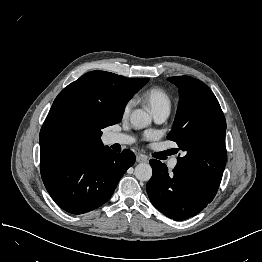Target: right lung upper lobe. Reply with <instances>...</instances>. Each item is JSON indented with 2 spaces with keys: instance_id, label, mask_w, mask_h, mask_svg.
Listing matches in <instances>:
<instances>
[{
  "instance_id": "1",
  "label": "right lung upper lobe",
  "mask_w": 262,
  "mask_h": 262,
  "mask_svg": "<svg viewBox=\"0 0 262 262\" xmlns=\"http://www.w3.org/2000/svg\"><path fill=\"white\" fill-rule=\"evenodd\" d=\"M105 71H92L64 88L41 128V153L103 146L101 127L122 119L125 106L145 84Z\"/></svg>"
}]
</instances>
